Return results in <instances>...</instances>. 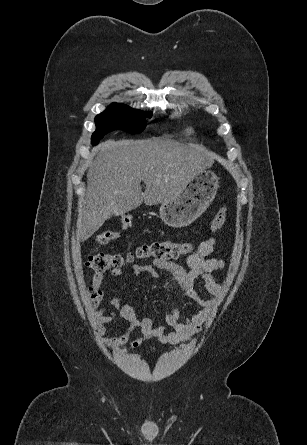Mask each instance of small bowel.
Masks as SVG:
<instances>
[{"instance_id": "c3829d8e", "label": "small bowel", "mask_w": 307, "mask_h": 445, "mask_svg": "<svg viewBox=\"0 0 307 445\" xmlns=\"http://www.w3.org/2000/svg\"><path fill=\"white\" fill-rule=\"evenodd\" d=\"M216 243L215 237L201 242L196 251L187 257L188 270L168 259H155L152 265L133 264L131 266L130 270L134 275L147 273L153 277H158L159 271L168 272L179 284L184 298L201 307L197 313L184 320L180 319L181 312L178 308L172 309L166 315L167 326H156L151 317L138 318L133 307L130 304L122 303L117 297L106 298L102 288L106 276L103 273H96L93 276L92 287L96 291L94 306L97 322L107 324L119 317L129 326L124 334L106 338L104 342L109 346L124 348V345L130 340L131 333L135 330L139 331L140 336L130 342L131 348H137L143 340L151 338H155L164 344H177L187 342L194 337L201 330L215 304V299L204 298L198 293L195 289L196 282L200 281L205 291L212 297L216 298L221 293V287L213 280L212 274L223 269L225 262L210 257ZM121 275L122 270L120 268L112 269L107 274L108 277H119ZM105 301L111 307L109 311L98 308L100 303Z\"/></svg>"}]
</instances>
